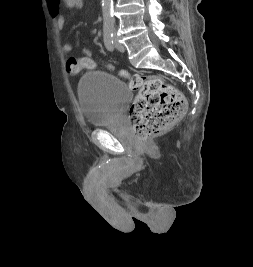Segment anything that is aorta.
Segmentation results:
<instances>
[{
  "label": "aorta",
  "instance_id": "aorta-1",
  "mask_svg": "<svg viewBox=\"0 0 253 267\" xmlns=\"http://www.w3.org/2000/svg\"><path fill=\"white\" fill-rule=\"evenodd\" d=\"M102 16L104 26H110L113 28L114 14H113V0H102Z\"/></svg>",
  "mask_w": 253,
  "mask_h": 267
}]
</instances>
